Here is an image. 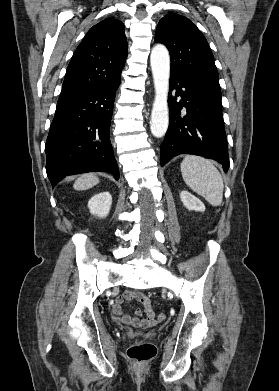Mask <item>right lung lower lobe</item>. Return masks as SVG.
Returning <instances> with one entry per match:
<instances>
[{"mask_svg":"<svg viewBox=\"0 0 279 391\" xmlns=\"http://www.w3.org/2000/svg\"><path fill=\"white\" fill-rule=\"evenodd\" d=\"M120 79L103 87L59 98L47 142L46 171L55 187L67 175L105 171L119 179L109 137Z\"/></svg>","mask_w":279,"mask_h":391,"instance_id":"obj_1","label":"right lung lower lobe"}]
</instances>
